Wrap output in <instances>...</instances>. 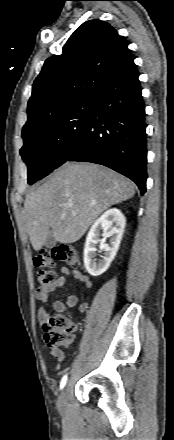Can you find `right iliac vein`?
Returning <instances> with one entry per match:
<instances>
[{"mask_svg":"<svg viewBox=\"0 0 174 440\" xmlns=\"http://www.w3.org/2000/svg\"><path fill=\"white\" fill-rule=\"evenodd\" d=\"M67 392H68V387H65L60 393L57 400V408L61 414H64L67 409Z\"/></svg>","mask_w":174,"mask_h":440,"instance_id":"obj_1","label":"right iliac vein"}]
</instances>
